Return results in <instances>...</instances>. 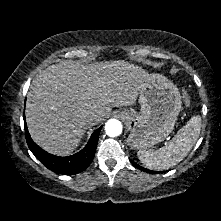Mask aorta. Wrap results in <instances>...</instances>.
<instances>
[{
  "label": "aorta",
  "mask_w": 221,
  "mask_h": 221,
  "mask_svg": "<svg viewBox=\"0 0 221 221\" xmlns=\"http://www.w3.org/2000/svg\"><path fill=\"white\" fill-rule=\"evenodd\" d=\"M105 131L110 137L119 136L122 133V124L119 120L110 119L105 124Z\"/></svg>",
  "instance_id": "obj_1"
}]
</instances>
